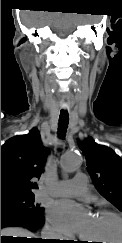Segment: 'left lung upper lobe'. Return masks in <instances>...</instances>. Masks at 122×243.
<instances>
[{"mask_svg": "<svg viewBox=\"0 0 122 243\" xmlns=\"http://www.w3.org/2000/svg\"><path fill=\"white\" fill-rule=\"evenodd\" d=\"M87 171L100 194L122 211V158L92 138L79 143Z\"/></svg>", "mask_w": 122, "mask_h": 243, "instance_id": "left-lung-upper-lobe-1", "label": "left lung upper lobe"}]
</instances>
